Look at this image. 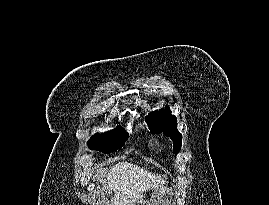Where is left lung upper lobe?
Masks as SVG:
<instances>
[{"instance_id":"left-lung-upper-lobe-1","label":"left lung upper lobe","mask_w":269,"mask_h":205,"mask_svg":"<svg viewBox=\"0 0 269 205\" xmlns=\"http://www.w3.org/2000/svg\"><path fill=\"white\" fill-rule=\"evenodd\" d=\"M148 126L154 133L164 132L174 143L173 151L181 149L182 135L177 130V118L171 114L169 108L150 113L146 119Z\"/></svg>"}]
</instances>
